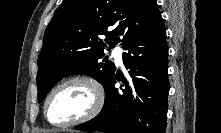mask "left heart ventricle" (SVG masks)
Returning <instances> with one entry per match:
<instances>
[{
  "label": "left heart ventricle",
  "mask_w": 221,
  "mask_h": 133,
  "mask_svg": "<svg viewBox=\"0 0 221 133\" xmlns=\"http://www.w3.org/2000/svg\"><path fill=\"white\" fill-rule=\"evenodd\" d=\"M90 89L81 83L68 84L57 90L48 104L52 122L65 123L85 114L92 104Z\"/></svg>",
  "instance_id": "obj_1"
}]
</instances>
